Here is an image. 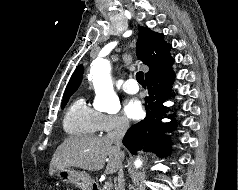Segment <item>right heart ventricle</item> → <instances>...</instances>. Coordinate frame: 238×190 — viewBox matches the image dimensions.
<instances>
[{
    "mask_svg": "<svg viewBox=\"0 0 238 190\" xmlns=\"http://www.w3.org/2000/svg\"><path fill=\"white\" fill-rule=\"evenodd\" d=\"M63 128L73 136L95 135L99 131V113L84 98H76L65 113Z\"/></svg>",
    "mask_w": 238,
    "mask_h": 190,
    "instance_id": "e07e8e85",
    "label": "right heart ventricle"
}]
</instances>
